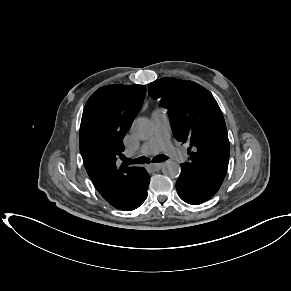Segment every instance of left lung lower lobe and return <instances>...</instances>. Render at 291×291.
I'll list each match as a JSON object with an SVG mask.
<instances>
[{"label":"left lung lower lobe","mask_w":291,"mask_h":291,"mask_svg":"<svg viewBox=\"0 0 291 291\" xmlns=\"http://www.w3.org/2000/svg\"><path fill=\"white\" fill-rule=\"evenodd\" d=\"M220 186V183L181 165V174L176 182V189L184 202L192 205L201 204L212 198Z\"/></svg>","instance_id":"1"}]
</instances>
